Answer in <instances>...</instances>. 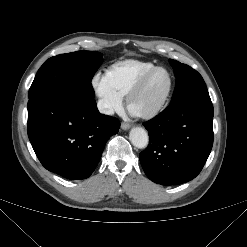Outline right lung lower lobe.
<instances>
[{"label": "right lung lower lobe", "mask_w": 247, "mask_h": 247, "mask_svg": "<svg viewBox=\"0 0 247 247\" xmlns=\"http://www.w3.org/2000/svg\"><path fill=\"white\" fill-rule=\"evenodd\" d=\"M28 137L41 164L71 179L88 178L118 119L100 114L94 98L49 90L28 102Z\"/></svg>", "instance_id": "1"}]
</instances>
